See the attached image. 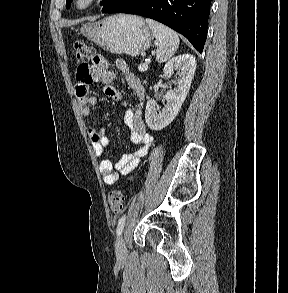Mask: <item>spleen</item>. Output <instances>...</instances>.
<instances>
[{
    "mask_svg": "<svg viewBox=\"0 0 288 293\" xmlns=\"http://www.w3.org/2000/svg\"><path fill=\"white\" fill-rule=\"evenodd\" d=\"M146 23L150 27L157 42L156 60L159 63H163L169 60L179 47V37L169 27L154 21L152 19H146Z\"/></svg>",
    "mask_w": 288,
    "mask_h": 293,
    "instance_id": "3e777b00",
    "label": "spleen"
}]
</instances>
